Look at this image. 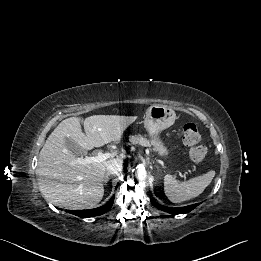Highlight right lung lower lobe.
<instances>
[{"mask_svg":"<svg viewBox=\"0 0 261 261\" xmlns=\"http://www.w3.org/2000/svg\"><path fill=\"white\" fill-rule=\"evenodd\" d=\"M113 201L114 196L101 207L89 210H69L68 212L82 218L94 217L106 213L112 207Z\"/></svg>","mask_w":261,"mask_h":261,"instance_id":"right-lung-lower-lobe-1","label":"right lung lower lobe"}]
</instances>
